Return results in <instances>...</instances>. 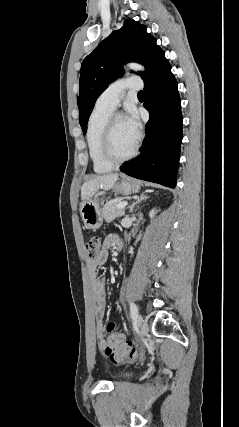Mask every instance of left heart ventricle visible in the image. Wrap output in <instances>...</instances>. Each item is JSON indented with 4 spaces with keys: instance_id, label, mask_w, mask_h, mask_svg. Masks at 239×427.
<instances>
[{
    "instance_id": "b2bd125f",
    "label": "left heart ventricle",
    "mask_w": 239,
    "mask_h": 427,
    "mask_svg": "<svg viewBox=\"0 0 239 427\" xmlns=\"http://www.w3.org/2000/svg\"><path fill=\"white\" fill-rule=\"evenodd\" d=\"M136 139L125 126L123 118L115 121L113 126L112 147L116 156L122 157L130 153Z\"/></svg>"
}]
</instances>
